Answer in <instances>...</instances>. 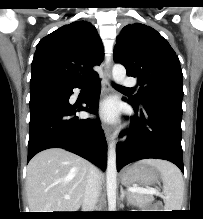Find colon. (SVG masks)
<instances>
[{
  "label": "colon",
  "mask_w": 203,
  "mask_h": 219,
  "mask_svg": "<svg viewBox=\"0 0 203 219\" xmlns=\"http://www.w3.org/2000/svg\"><path fill=\"white\" fill-rule=\"evenodd\" d=\"M153 209H154V211L159 212L162 209V203L161 202H155L153 204Z\"/></svg>",
  "instance_id": "1"
}]
</instances>
